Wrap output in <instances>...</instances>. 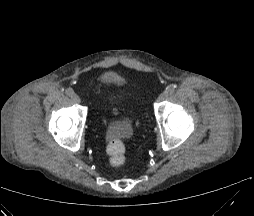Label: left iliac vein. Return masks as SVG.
<instances>
[{
    "label": "left iliac vein",
    "mask_w": 254,
    "mask_h": 216,
    "mask_svg": "<svg viewBox=\"0 0 254 216\" xmlns=\"http://www.w3.org/2000/svg\"><path fill=\"white\" fill-rule=\"evenodd\" d=\"M167 98H168V94L166 92H164L159 95V97L157 98V101L162 102V101L166 100Z\"/></svg>",
    "instance_id": "obj_1"
}]
</instances>
